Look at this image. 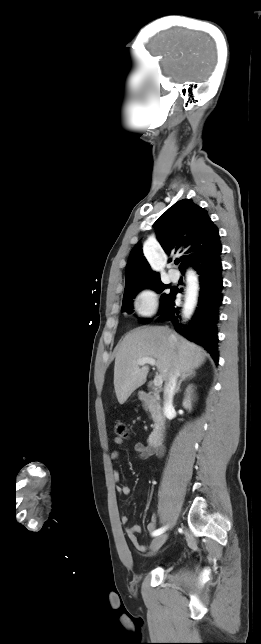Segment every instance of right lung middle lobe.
I'll list each match as a JSON object with an SVG mask.
<instances>
[{
  "mask_svg": "<svg viewBox=\"0 0 261 644\" xmlns=\"http://www.w3.org/2000/svg\"><path fill=\"white\" fill-rule=\"evenodd\" d=\"M144 288H151V289L155 290L156 292L161 293L164 289L170 288V285H165V284H163L161 282V280H158V281H153V282L138 283V284H135V285H133V286H131L129 288H126L125 292H124L123 303H122V308H121V310L123 312L125 311V312H127L129 314L133 313V306H132L133 300L132 299L135 297V295L140 290H142ZM174 294H175V288H173V287L171 288V291H170L169 294H166V293L162 294V296H161V308H160L159 313L163 312V310L166 308L167 304L169 303L171 298L174 296ZM147 322H149V320H147V319H142L141 320V323H143V324H145Z\"/></svg>",
  "mask_w": 261,
  "mask_h": 644,
  "instance_id": "right-lung-middle-lobe-1",
  "label": "right lung middle lobe"
}]
</instances>
